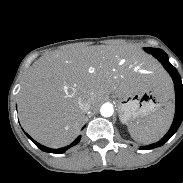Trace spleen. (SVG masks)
<instances>
[{
	"label": "spleen",
	"instance_id": "spleen-1",
	"mask_svg": "<svg viewBox=\"0 0 183 183\" xmlns=\"http://www.w3.org/2000/svg\"><path fill=\"white\" fill-rule=\"evenodd\" d=\"M174 107L168 102L164 108L158 109L155 113L136 124H129L128 131L132 138L138 143L149 144L160 140L168 131L173 119Z\"/></svg>",
	"mask_w": 183,
	"mask_h": 183
}]
</instances>
